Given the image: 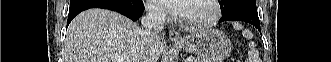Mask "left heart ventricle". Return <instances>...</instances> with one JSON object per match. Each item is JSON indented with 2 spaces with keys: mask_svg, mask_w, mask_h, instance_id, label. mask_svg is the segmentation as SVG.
I'll list each match as a JSON object with an SVG mask.
<instances>
[{
  "mask_svg": "<svg viewBox=\"0 0 331 62\" xmlns=\"http://www.w3.org/2000/svg\"><path fill=\"white\" fill-rule=\"evenodd\" d=\"M211 14V8L202 0L191 1L189 13L185 16L188 20L205 19Z\"/></svg>",
  "mask_w": 331,
  "mask_h": 62,
  "instance_id": "left-heart-ventricle-1",
  "label": "left heart ventricle"
}]
</instances>
